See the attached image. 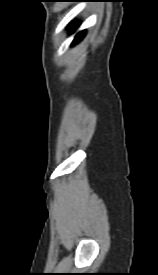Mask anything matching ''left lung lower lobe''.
<instances>
[{"label":"left lung lower lobe","instance_id":"0a47b994","mask_svg":"<svg viewBox=\"0 0 158 275\" xmlns=\"http://www.w3.org/2000/svg\"><path fill=\"white\" fill-rule=\"evenodd\" d=\"M84 32L85 31H82L80 33H78L73 41V43H77L78 41H80L82 39V37L84 36Z\"/></svg>","mask_w":158,"mask_h":275}]
</instances>
